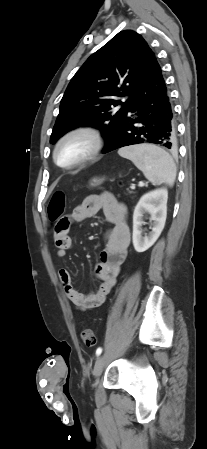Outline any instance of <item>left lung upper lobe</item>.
<instances>
[{"mask_svg":"<svg viewBox=\"0 0 207 449\" xmlns=\"http://www.w3.org/2000/svg\"><path fill=\"white\" fill-rule=\"evenodd\" d=\"M157 62L138 33L119 32L92 54L71 79L60 104L50 143L78 126L101 131L106 146L118 133ZM130 95L122 102L115 97ZM121 105L120 109L114 107Z\"/></svg>","mask_w":207,"mask_h":449,"instance_id":"obj_1","label":"left lung upper lobe"}]
</instances>
